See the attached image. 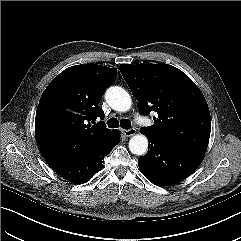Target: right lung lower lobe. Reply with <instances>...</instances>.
<instances>
[{
	"mask_svg": "<svg viewBox=\"0 0 241 241\" xmlns=\"http://www.w3.org/2000/svg\"><path fill=\"white\" fill-rule=\"evenodd\" d=\"M120 142L119 131L115 130L111 138L87 155L52 169L72 183L83 184L88 182L96 172L103 169V158Z\"/></svg>",
	"mask_w": 241,
	"mask_h": 241,
	"instance_id": "1",
	"label": "right lung lower lobe"
}]
</instances>
